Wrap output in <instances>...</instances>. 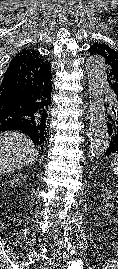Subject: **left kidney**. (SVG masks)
<instances>
[{
	"mask_svg": "<svg viewBox=\"0 0 118 269\" xmlns=\"http://www.w3.org/2000/svg\"><path fill=\"white\" fill-rule=\"evenodd\" d=\"M105 191H106V194L103 195V198H104V202L106 203V205H105V208L103 207V208H100V209H101L102 214L104 216L110 217V210L107 209V207L112 209L113 205L110 204L108 200L112 199V197L116 196L118 194V190L116 192H112L111 190L109 191V190L105 189ZM103 211H105V212L103 213Z\"/></svg>",
	"mask_w": 118,
	"mask_h": 269,
	"instance_id": "5707ae66",
	"label": "left kidney"
}]
</instances>
